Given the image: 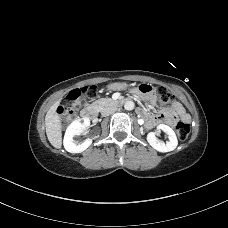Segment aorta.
<instances>
[{"instance_id":"aorta-1","label":"aorta","mask_w":228,"mask_h":228,"mask_svg":"<svg viewBox=\"0 0 228 228\" xmlns=\"http://www.w3.org/2000/svg\"><path fill=\"white\" fill-rule=\"evenodd\" d=\"M134 106H135V104H134V102H132V101H127V102L124 104L125 110H128V111L133 110V109H134Z\"/></svg>"}]
</instances>
